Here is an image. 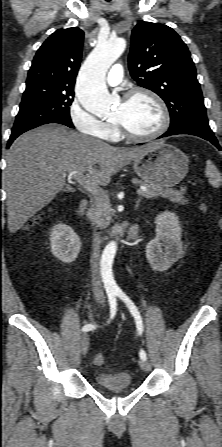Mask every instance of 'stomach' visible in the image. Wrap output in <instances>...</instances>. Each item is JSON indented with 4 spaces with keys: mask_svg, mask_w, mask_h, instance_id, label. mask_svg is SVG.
Instances as JSON below:
<instances>
[{
    "mask_svg": "<svg viewBox=\"0 0 222 447\" xmlns=\"http://www.w3.org/2000/svg\"><path fill=\"white\" fill-rule=\"evenodd\" d=\"M188 163L180 149L157 142L146 145V151L133 161V169L144 182L170 188L186 176Z\"/></svg>",
    "mask_w": 222,
    "mask_h": 447,
    "instance_id": "0dacf381",
    "label": "stomach"
}]
</instances>
